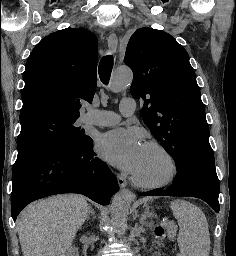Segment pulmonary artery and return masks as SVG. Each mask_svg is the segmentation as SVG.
Returning a JSON list of instances; mask_svg holds the SVG:
<instances>
[{"mask_svg": "<svg viewBox=\"0 0 236 256\" xmlns=\"http://www.w3.org/2000/svg\"><path fill=\"white\" fill-rule=\"evenodd\" d=\"M128 101H121L120 113L123 116H131L134 114V97L128 96ZM106 116L100 118H90L87 120L88 124L96 125V126H114L119 123L120 115L118 113L112 111H105Z\"/></svg>", "mask_w": 236, "mask_h": 256, "instance_id": "obj_1", "label": "pulmonary artery"}]
</instances>
